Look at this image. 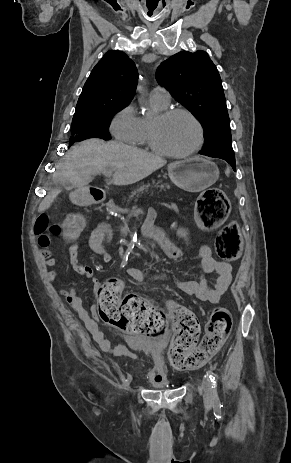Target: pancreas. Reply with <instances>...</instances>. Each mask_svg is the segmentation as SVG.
I'll return each instance as SVG.
<instances>
[{"mask_svg":"<svg viewBox=\"0 0 291 463\" xmlns=\"http://www.w3.org/2000/svg\"><path fill=\"white\" fill-rule=\"evenodd\" d=\"M171 190V186L168 183H164L161 180H153L151 183H147L145 186H140L134 189L129 199L139 198L143 196H167V192Z\"/></svg>","mask_w":291,"mask_h":463,"instance_id":"cf45deb5","label":"pancreas"}]
</instances>
